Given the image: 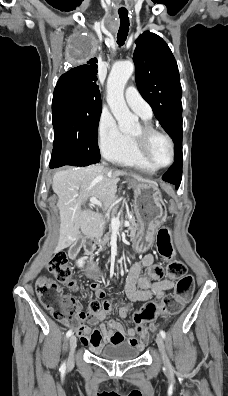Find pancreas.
<instances>
[{
  "label": "pancreas",
  "instance_id": "1",
  "mask_svg": "<svg viewBox=\"0 0 228 396\" xmlns=\"http://www.w3.org/2000/svg\"><path fill=\"white\" fill-rule=\"evenodd\" d=\"M130 219V223H131V225L129 226V230H130V234H131V236L133 237L134 236V234H135V232H136V223H135V217H134V215L133 214H124L123 216H120V219ZM112 232H113V229L112 228H109L108 229V233H106L105 235H104V237H103V240L102 241H100V246L101 247H103V246H105L106 244H108V242H109V240H110V235L112 234ZM131 239H133V238H131Z\"/></svg>",
  "mask_w": 228,
  "mask_h": 396
}]
</instances>
